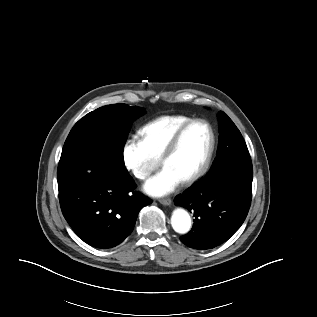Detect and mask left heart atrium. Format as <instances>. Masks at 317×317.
<instances>
[{
	"instance_id": "obj_1",
	"label": "left heart atrium",
	"mask_w": 317,
	"mask_h": 317,
	"mask_svg": "<svg viewBox=\"0 0 317 317\" xmlns=\"http://www.w3.org/2000/svg\"><path fill=\"white\" fill-rule=\"evenodd\" d=\"M181 179L168 167H164L144 186L145 191L153 196H163L172 192Z\"/></svg>"
}]
</instances>
